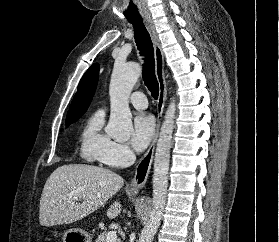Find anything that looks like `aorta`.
I'll return each instance as SVG.
<instances>
[{"label":"aorta","mask_w":279,"mask_h":242,"mask_svg":"<svg viewBox=\"0 0 279 242\" xmlns=\"http://www.w3.org/2000/svg\"><path fill=\"white\" fill-rule=\"evenodd\" d=\"M140 73L141 68L135 62L117 63L114 66L109 89L111 113L106 133L117 141H127L133 131L132 114L128 99ZM175 112L176 104L173 99L166 111L155 151L152 180L153 206L138 242H152L161 223L167 199L170 149Z\"/></svg>","instance_id":"aorta-1"}]
</instances>
